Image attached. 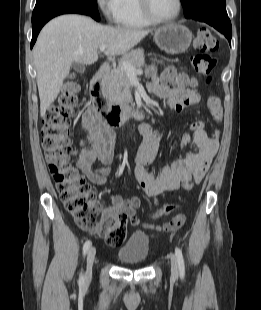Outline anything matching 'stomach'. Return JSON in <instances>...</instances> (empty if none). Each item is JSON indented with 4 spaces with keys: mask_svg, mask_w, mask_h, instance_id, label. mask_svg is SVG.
Listing matches in <instances>:
<instances>
[{
    "mask_svg": "<svg viewBox=\"0 0 261 310\" xmlns=\"http://www.w3.org/2000/svg\"><path fill=\"white\" fill-rule=\"evenodd\" d=\"M156 45L170 54L184 53L192 41L190 30L180 24H167L159 28L154 35Z\"/></svg>",
    "mask_w": 261,
    "mask_h": 310,
    "instance_id": "obj_1",
    "label": "stomach"
}]
</instances>
